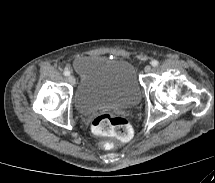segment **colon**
Masks as SVG:
<instances>
[{
	"label": "colon",
	"mask_w": 215,
	"mask_h": 183,
	"mask_svg": "<svg viewBox=\"0 0 215 183\" xmlns=\"http://www.w3.org/2000/svg\"><path fill=\"white\" fill-rule=\"evenodd\" d=\"M92 131L99 137H116L120 140H128L132 131L129 122L111 113H102L92 121ZM104 145V143H101Z\"/></svg>",
	"instance_id": "5ec220e1"
}]
</instances>
